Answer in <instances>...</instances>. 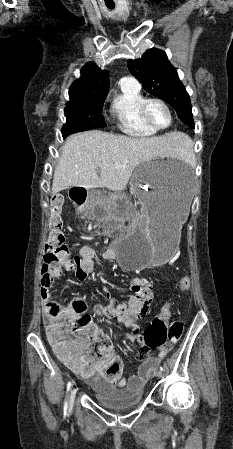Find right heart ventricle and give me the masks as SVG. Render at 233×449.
<instances>
[{
  "label": "right heart ventricle",
  "mask_w": 233,
  "mask_h": 449,
  "mask_svg": "<svg viewBox=\"0 0 233 449\" xmlns=\"http://www.w3.org/2000/svg\"><path fill=\"white\" fill-rule=\"evenodd\" d=\"M145 98L140 86L120 82V91L112 99L110 112L118 128L128 136L147 138L156 134L139 115L140 104Z\"/></svg>",
  "instance_id": "e07e8e85"
}]
</instances>
